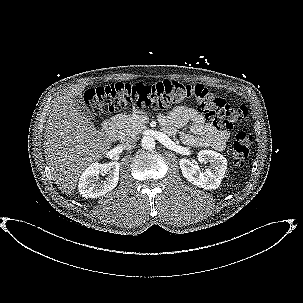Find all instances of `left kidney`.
Returning <instances> with one entry per match:
<instances>
[{
    "mask_svg": "<svg viewBox=\"0 0 303 303\" xmlns=\"http://www.w3.org/2000/svg\"><path fill=\"white\" fill-rule=\"evenodd\" d=\"M198 160L210 164L206 171L203 173L197 164L183 158L179 161L183 176L200 188L217 189L227 169L226 158L216 151L201 150L198 153Z\"/></svg>",
    "mask_w": 303,
    "mask_h": 303,
    "instance_id": "5707ae66",
    "label": "left kidney"
}]
</instances>
